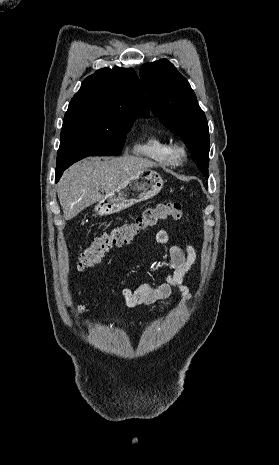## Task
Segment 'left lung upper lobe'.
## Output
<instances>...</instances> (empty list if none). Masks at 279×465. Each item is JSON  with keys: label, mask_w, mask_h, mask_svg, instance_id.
Here are the masks:
<instances>
[{"label": "left lung upper lobe", "mask_w": 279, "mask_h": 465, "mask_svg": "<svg viewBox=\"0 0 279 465\" xmlns=\"http://www.w3.org/2000/svg\"><path fill=\"white\" fill-rule=\"evenodd\" d=\"M140 77L153 114L185 141L198 168L208 177V122L188 81L166 59L144 64Z\"/></svg>", "instance_id": "obj_1"}]
</instances>
